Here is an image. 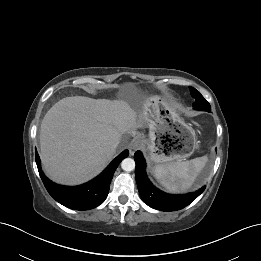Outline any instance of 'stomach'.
<instances>
[{
  "mask_svg": "<svg viewBox=\"0 0 261 261\" xmlns=\"http://www.w3.org/2000/svg\"><path fill=\"white\" fill-rule=\"evenodd\" d=\"M150 102L149 137L143 139V144L151 164H168L189 157L197 147L194 130L163 100L155 97Z\"/></svg>",
  "mask_w": 261,
  "mask_h": 261,
  "instance_id": "stomach-1",
  "label": "stomach"
}]
</instances>
